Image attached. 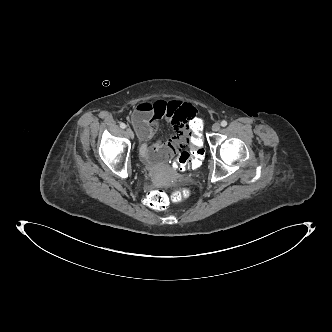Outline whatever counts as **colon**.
Returning a JSON list of instances; mask_svg holds the SVG:
<instances>
[{
    "mask_svg": "<svg viewBox=\"0 0 332 332\" xmlns=\"http://www.w3.org/2000/svg\"><path fill=\"white\" fill-rule=\"evenodd\" d=\"M190 137L186 140V146L183 151L177 155V159L170 161L172 170H184L198 167L204 157L205 140L203 138V123L200 118L193 117L189 121ZM189 196V190L183 189L172 193L171 201L178 203ZM170 203L169 197L163 191H154L148 196L150 207L163 210Z\"/></svg>",
    "mask_w": 332,
    "mask_h": 332,
    "instance_id": "5ec220e1",
    "label": "colon"
}]
</instances>
